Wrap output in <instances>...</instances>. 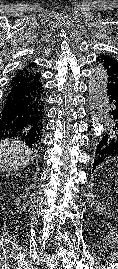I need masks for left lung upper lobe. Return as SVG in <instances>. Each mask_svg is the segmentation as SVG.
Wrapping results in <instances>:
<instances>
[{
    "mask_svg": "<svg viewBox=\"0 0 118 269\" xmlns=\"http://www.w3.org/2000/svg\"><path fill=\"white\" fill-rule=\"evenodd\" d=\"M97 60L105 69L108 91L118 94V60L106 54H102Z\"/></svg>",
    "mask_w": 118,
    "mask_h": 269,
    "instance_id": "1",
    "label": "left lung upper lobe"
}]
</instances>
